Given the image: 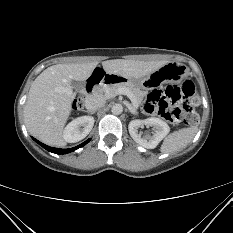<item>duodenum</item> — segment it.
I'll list each match as a JSON object with an SVG mask.
<instances>
[{"instance_id":"1","label":"duodenum","mask_w":233,"mask_h":233,"mask_svg":"<svg viewBox=\"0 0 233 233\" xmlns=\"http://www.w3.org/2000/svg\"><path fill=\"white\" fill-rule=\"evenodd\" d=\"M94 74L85 82V87H87L88 92L97 91L98 87L117 84L120 81H116V76L113 73L104 72L103 68L97 66L94 68Z\"/></svg>"}]
</instances>
